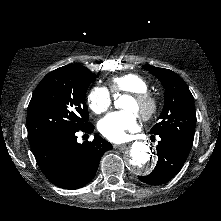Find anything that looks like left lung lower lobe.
I'll list each match as a JSON object with an SVG mask.
<instances>
[{"mask_svg": "<svg viewBox=\"0 0 221 221\" xmlns=\"http://www.w3.org/2000/svg\"><path fill=\"white\" fill-rule=\"evenodd\" d=\"M157 145L158 162L155 169L139 179L147 184L160 185L173 178L183 167L189 152L171 138L160 136Z\"/></svg>", "mask_w": 221, "mask_h": 221, "instance_id": "left-lung-lower-lobe-1", "label": "left lung lower lobe"}]
</instances>
